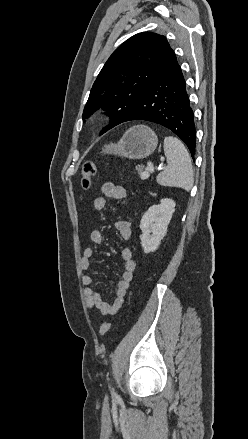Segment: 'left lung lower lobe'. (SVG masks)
I'll list each match as a JSON object with an SVG mask.
<instances>
[{"mask_svg":"<svg viewBox=\"0 0 248 439\" xmlns=\"http://www.w3.org/2000/svg\"><path fill=\"white\" fill-rule=\"evenodd\" d=\"M132 120L150 121L170 129L187 145L194 159V114L175 54L122 122Z\"/></svg>","mask_w":248,"mask_h":439,"instance_id":"obj_1","label":"left lung lower lobe"}]
</instances>
